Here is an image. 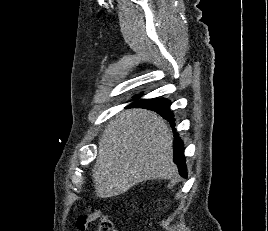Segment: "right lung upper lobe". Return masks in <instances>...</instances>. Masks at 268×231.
<instances>
[{"label": "right lung upper lobe", "mask_w": 268, "mask_h": 231, "mask_svg": "<svg viewBox=\"0 0 268 231\" xmlns=\"http://www.w3.org/2000/svg\"><path fill=\"white\" fill-rule=\"evenodd\" d=\"M138 105H141L147 109H151L154 111H161L166 108H169V104L163 103V102H157L153 100H141L138 102H135Z\"/></svg>", "instance_id": "right-lung-upper-lobe-1"}]
</instances>
